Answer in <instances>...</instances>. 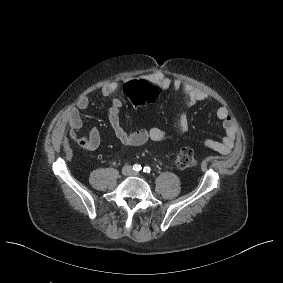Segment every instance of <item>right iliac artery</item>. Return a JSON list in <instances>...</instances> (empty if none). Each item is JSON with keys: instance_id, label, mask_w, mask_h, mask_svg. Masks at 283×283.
Returning <instances> with one entry per match:
<instances>
[{"instance_id": "obj_1", "label": "right iliac artery", "mask_w": 283, "mask_h": 283, "mask_svg": "<svg viewBox=\"0 0 283 283\" xmlns=\"http://www.w3.org/2000/svg\"><path fill=\"white\" fill-rule=\"evenodd\" d=\"M142 169V167H141V165H139V164H135V165H133V170L134 171H140Z\"/></svg>"}]
</instances>
